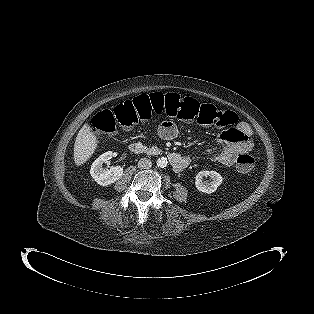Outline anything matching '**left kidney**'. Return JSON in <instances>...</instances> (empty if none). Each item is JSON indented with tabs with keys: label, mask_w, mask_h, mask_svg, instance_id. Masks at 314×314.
<instances>
[{
	"label": "left kidney",
	"mask_w": 314,
	"mask_h": 314,
	"mask_svg": "<svg viewBox=\"0 0 314 314\" xmlns=\"http://www.w3.org/2000/svg\"><path fill=\"white\" fill-rule=\"evenodd\" d=\"M210 176L211 182L203 181V177ZM223 177L215 171H200L195 177L196 188L203 193L211 194L222 184Z\"/></svg>",
	"instance_id": "1"
}]
</instances>
